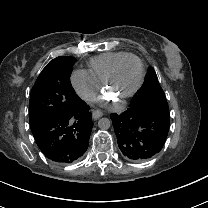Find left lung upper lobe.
<instances>
[{"instance_id": "5c2ea615", "label": "left lung upper lobe", "mask_w": 208, "mask_h": 208, "mask_svg": "<svg viewBox=\"0 0 208 208\" xmlns=\"http://www.w3.org/2000/svg\"><path fill=\"white\" fill-rule=\"evenodd\" d=\"M129 107L156 111L170 117L165 94L153 68L148 69L147 82L134 96Z\"/></svg>"}]
</instances>
